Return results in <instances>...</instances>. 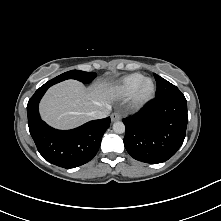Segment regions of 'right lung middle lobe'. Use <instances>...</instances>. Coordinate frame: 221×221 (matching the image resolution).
Returning <instances> with one entry per match:
<instances>
[{
  "label": "right lung middle lobe",
  "mask_w": 221,
  "mask_h": 221,
  "mask_svg": "<svg viewBox=\"0 0 221 221\" xmlns=\"http://www.w3.org/2000/svg\"><path fill=\"white\" fill-rule=\"evenodd\" d=\"M96 76H97V74L94 72H84V71H80V70H71V71L65 72V73L53 78L52 80L46 82L42 86V88L43 87H50L56 83L66 80V79H76L82 83H90Z\"/></svg>",
  "instance_id": "right-lung-middle-lobe-1"
}]
</instances>
